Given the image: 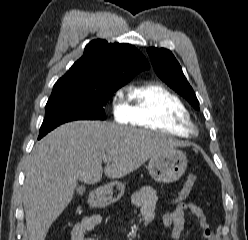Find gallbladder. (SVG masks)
Listing matches in <instances>:
<instances>
[{
  "mask_svg": "<svg viewBox=\"0 0 248 240\" xmlns=\"http://www.w3.org/2000/svg\"><path fill=\"white\" fill-rule=\"evenodd\" d=\"M84 191H85V187H83V186H79L77 188V192H79V193H83Z\"/></svg>",
  "mask_w": 248,
  "mask_h": 240,
  "instance_id": "gallbladder-1",
  "label": "gallbladder"
}]
</instances>
